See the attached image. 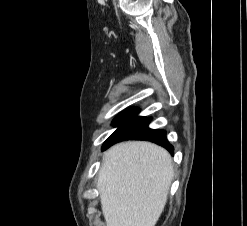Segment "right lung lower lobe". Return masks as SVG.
I'll list each match as a JSON object with an SVG mask.
<instances>
[{"mask_svg":"<svg viewBox=\"0 0 247 226\" xmlns=\"http://www.w3.org/2000/svg\"><path fill=\"white\" fill-rule=\"evenodd\" d=\"M139 108H128L120 113L112 122L118 129L105 141L103 150L107 149L114 143L123 140H148L166 148L171 154L174 148L166 139L164 130L148 128L151 118L139 117Z\"/></svg>","mask_w":247,"mask_h":226,"instance_id":"right-lung-lower-lobe-1","label":"right lung lower lobe"}]
</instances>
